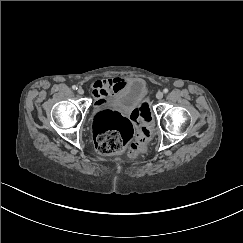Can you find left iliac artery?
Returning a JSON list of instances; mask_svg holds the SVG:
<instances>
[{
    "label": "left iliac artery",
    "instance_id": "left-iliac-artery-1",
    "mask_svg": "<svg viewBox=\"0 0 243 243\" xmlns=\"http://www.w3.org/2000/svg\"><path fill=\"white\" fill-rule=\"evenodd\" d=\"M163 92H164L165 94L168 93V89L165 88V89L163 90Z\"/></svg>",
    "mask_w": 243,
    "mask_h": 243
}]
</instances>
